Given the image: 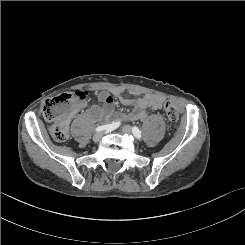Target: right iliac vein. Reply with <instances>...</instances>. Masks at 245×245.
I'll use <instances>...</instances> for the list:
<instances>
[{
    "mask_svg": "<svg viewBox=\"0 0 245 245\" xmlns=\"http://www.w3.org/2000/svg\"><path fill=\"white\" fill-rule=\"evenodd\" d=\"M103 137V133L102 132H98L93 136V141L94 142H99Z\"/></svg>",
    "mask_w": 245,
    "mask_h": 245,
    "instance_id": "1",
    "label": "right iliac vein"
}]
</instances>
